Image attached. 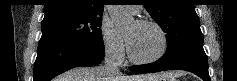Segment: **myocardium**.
Instances as JSON below:
<instances>
[{"label": "myocardium", "instance_id": "f54148a6", "mask_svg": "<svg viewBox=\"0 0 237 81\" xmlns=\"http://www.w3.org/2000/svg\"><path fill=\"white\" fill-rule=\"evenodd\" d=\"M136 23L141 26H151L154 29H156V31L160 35V38L162 41V46H161L159 52L157 54H155L154 56H151L148 58H138L132 53L129 42L127 40L126 46H127V53H128V57H129L130 61H132L135 64H148V63H153V62L158 61L165 55V53L167 52V49H168L169 43H168V37H167L165 31L158 23H156L155 21H152V20L139 19L136 21Z\"/></svg>", "mask_w": 237, "mask_h": 81}]
</instances>
